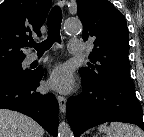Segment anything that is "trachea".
<instances>
[{"label": "trachea", "instance_id": "obj_1", "mask_svg": "<svg viewBox=\"0 0 144 137\" xmlns=\"http://www.w3.org/2000/svg\"><path fill=\"white\" fill-rule=\"evenodd\" d=\"M62 22V11L59 6H54L48 17V37L42 43L30 41L27 46L34 47L39 54L50 49L54 42H61L60 27Z\"/></svg>", "mask_w": 144, "mask_h": 137}]
</instances>
